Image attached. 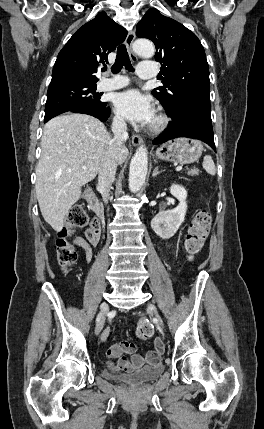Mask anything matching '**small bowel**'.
Listing matches in <instances>:
<instances>
[{
    "mask_svg": "<svg viewBox=\"0 0 264 429\" xmlns=\"http://www.w3.org/2000/svg\"><path fill=\"white\" fill-rule=\"evenodd\" d=\"M101 233V225L98 221L91 223L90 227L86 230V237H76L73 242L76 246L82 248L85 252L87 262H91L93 258L92 247L99 243ZM109 330L103 333L102 341H105L108 337ZM163 349L159 350L156 347L153 350L148 351L145 355L137 353V347L133 343L119 342L111 346L106 355L109 359H115L117 366L120 370L130 372L134 369L143 367L145 364L153 365L157 363ZM130 355V358L127 357Z\"/></svg>",
    "mask_w": 264,
    "mask_h": 429,
    "instance_id": "obj_1",
    "label": "small bowel"
}]
</instances>
